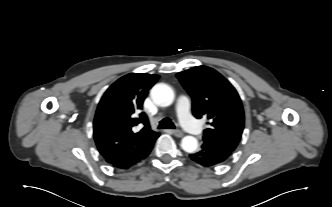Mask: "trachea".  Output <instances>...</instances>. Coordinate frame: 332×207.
Returning <instances> with one entry per match:
<instances>
[{
  "label": "trachea",
  "mask_w": 332,
  "mask_h": 207,
  "mask_svg": "<svg viewBox=\"0 0 332 207\" xmlns=\"http://www.w3.org/2000/svg\"><path fill=\"white\" fill-rule=\"evenodd\" d=\"M159 129H164V128H169V129H174L175 125L169 118H164L159 122Z\"/></svg>",
  "instance_id": "1"
}]
</instances>
